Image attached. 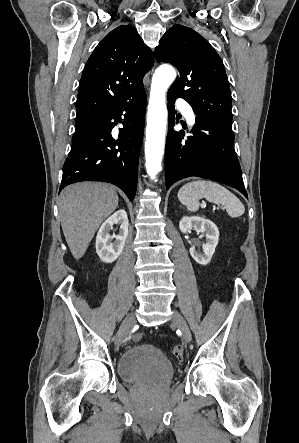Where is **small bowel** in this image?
Listing matches in <instances>:
<instances>
[{
	"instance_id": "1",
	"label": "small bowel",
	"mask_w": 299,
	"mask_h": 443,
	"mask_svg": "<svg viewBox=\"0 0 299 443\" xmlns=\"http://www.w3.org/2000/svg\"><path fill=\"white\" fill-rule=\"evenodd\" d=\"M140 338V335H136V336H134V339L135 340H138Z\"/></svg>"
}]
</instances>
